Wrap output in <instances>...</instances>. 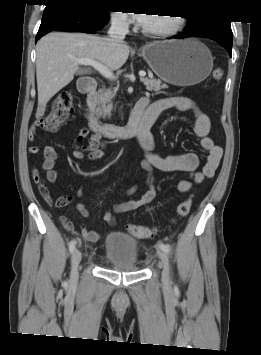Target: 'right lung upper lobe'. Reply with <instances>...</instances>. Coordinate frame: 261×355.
I'll use <instances>...</instances> for the list:
<instances>
[{"instance_id": "right-lung-upper-lobe-1", "label": "right lung upper lobe", "mask_w": 261, "mask_h": 355, "mask_svg": "<svg viewBox=\"0 0 261 355\" xmlns=\"http://www.w3.org/2000/svg\"><path fill=\"white\" fill-rule=\"evenodd\" d=\"M46 3H56V2H66V1H71V2H81L84 0H45Z\"/></svg>"}]
</instances>
